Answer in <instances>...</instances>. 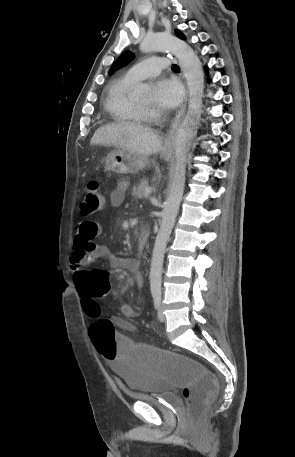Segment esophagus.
Segmentation results:
<instances>
[{
    "label": "esophagus",
    "mask_w": 295,
    "mask_h": 457,
    "mask_svg": "<svg viewBox=\"0 0 295 457\" xmlns=\"http://www.w3.org/2000/svg\"><path fill=\"white\" fill-rule=\"evenodd\" d=\"M186 103H187V95H186L183 106L181 107L180 111L176 114V116L172 122L171 128L166 135L165 144H164L165 153L172 152V150H173L175 136L177 134L178 128H179V126L182 122V119L184 117V114H185Z\"/></svg>",
    "instance_id": "34e87169"
}]
</instances>
